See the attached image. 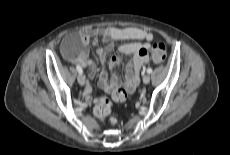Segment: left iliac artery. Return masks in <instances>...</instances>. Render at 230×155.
I'll use <instances>...</instances> for the list:
<instances>
[{
	"mask_svg": "<svg viewBox=\"0 0 230 155\" xmlns=\"http://www.w3.org/2000/svg\"><path fill=\"white\" fill-rule=\"evenodd\" d=\"M151 72H152V69H151V68H148V69H147V73L150 74Z\"/></svg>",
	"mask_w": 230,
	"mask_h": 155,
	"instance_id": "left-iliac-artery-1",
	"label": "left iliac artery"
}]
</instances>
